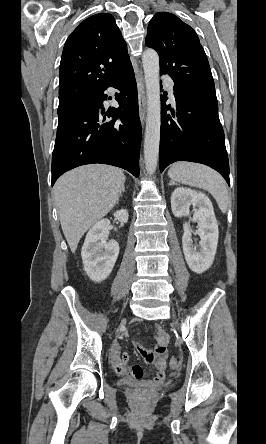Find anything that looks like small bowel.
I'll return each instance as SVG.
<instances>
[{
	"label": "small bowel",
	"mask_w": 266,
	"mask_h": 444,
	"mask_svg": "<svg viewBox=\"0 0 266 444\" xmlns=\"http://www.w3.org/2000/svg\"><path fill=\"white\" fill-rule=\"evenodd\" d=\"M155 347L153 349H148L142 346L139 343L135 344L137 351L143 356L146 362L153 364L157 373L152 379L144 380V372L143 369L138 365H130L129 364V355L124 353L120 360L116 359V355L119 351V344L115 342L113 344L114 350V365L116 371L128 378L140 382L144 385L152 386L161 384L166 378V355H167V343L168 336L167 333L157 328L155 334Z\"/></svg>",
	"instance_id": "c3829d8e"
}]
</instances>
